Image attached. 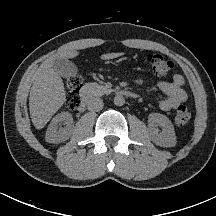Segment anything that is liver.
I'll list each match as a JSON object with an SVG mask.
<instances>
[{
    "label": "liver",
    "mask_w": 216,
    "mask_h": 216,
    "mask_svg": "<svg viewBox=\"0 0 216 216\" xmlns=\"http://www.w3.org/2000/svg\"><path fill=\"white\" fill-rule=\"evenodd\" d=\"M77 51H68L59 54L58 58H74ZM124 53H107L101 59L109 60L122 56ZM56 58L45 60L35 74V80L30 90L29 110L32 123L36 129H42L52 116L66 101V91L63 80L53 69Z\"/></svg>",
    "instance_id": "6515ba94"
}]
</instances>
